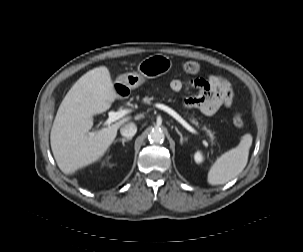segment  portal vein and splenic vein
Returning a JSON list of instances; mask_svg holds the SVG:
<instances>
[{
  "label": "portal vein and splenic vein",
  "instance_id": "obj_1",
  "mask_svg": "<svg viewBox=\"0 0 303 252\" xmlns=\"http://www.w3.org/2000/svg\"><path fill=\"white\" fill-rule=\"evenodd\" d=\"M155 106L165 112H167L168 114H170L172 117H174L178 122H180L188 131H190L193 134H197L198 132L192 127L190 126L179 114H177L173 109H171L170 107L164 105V104H160L157 103L155 104ZM128 113H130V110L124 109V110H120V111H110L108 113V119L105 121L104 125H110L111 123L119 120L120 118L124 117L125 115H127ZM95 133H92L91 135L93 136Z\"/></svg>",
  "mask_w": 303,
  "mask_h": 252
}]
</instances>
